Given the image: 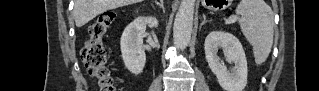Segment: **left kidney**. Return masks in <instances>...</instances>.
I'll list each match as a JSON object with an SVG mask.
<instances>
[{"instance_id":"left-kidney-1","label":"left kidney","mask_w":319,"mask_h":91,"mask_svg":"<svg viewBox=\"0 0 319 91\" xmlns=\"http://www.w3.org/2000/svg\"><path fill=\"white\" fill-rule=\"evenodd\" d=\"M205 56L209 68L216 75L225 91H243L247 84V60L240 41L231 33L212 31L205 39ZM222 48L229 63L235 67L229 71L217 55Z\"/></svg>"}]
</instances>
